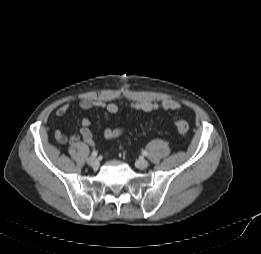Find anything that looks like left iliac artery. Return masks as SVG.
I'll return each instance as SVG.
<instances>
[{
	"label": "left iliac artery",
	"mask_w": 261,
	"mask_h": 254,
	"mask_svg": "<svg viewBox=\"0 0 261 254\" xmlns=\"http://www.w3.org/2000/svg\"><path fill=\"white\" fill-rule=\"evenodd\" d=\"M142 153H143V155H145V156L148 154L147 151H145V150H144Z\"/></svg>",
	"instance_id": "left-iliac-artery-1"
}]
</instances>
